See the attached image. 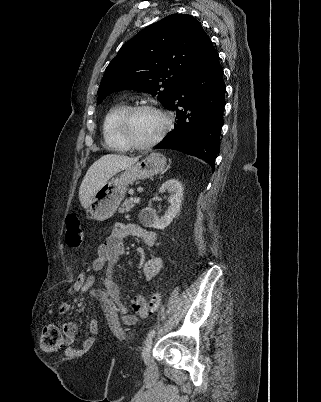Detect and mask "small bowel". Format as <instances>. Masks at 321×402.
<instances>
[{
  "label": "small bowel",
  "mask_w": 321,
  "mask_h": 402,
  "mask_svg": "<svg viewBox=\"0 0 321 402\" xmlns=\"http://www.w3.org/2000/svg\"><path fill=\"white\" fill-rule=\"evenodd\" d=\"M126 237H138L148 246H153L156 243L157 236L152 230L145 229L136 223H118L114 229L104 238L103 242L96 248L95 258L91 262V270L95 273L104 272L101 278V283L110 298L116 305L122 315L123 322L126 325H134L137 322L135 314L131 313L125 306L120 296L119 290L113 279V271L119 258L125 253L124 239ZM163 266V258L160 256H152L143 264V275L147 280L153 279ZM94 282V276L91 274L86 277L85 285H90ZM140 301H145L141 295H136L132 299V307ZM146 302V301H145ZM57 313L66 315L71 310V306L67 303H58L55 305ZM134 309V308H133ZM146 316V314H141ZM62 329L65 335L66 355L71 358H83L88 347L93 346L97 341V336L100 333L99 322L92 321L87 328V333L84 336L85 344L75 346L77 336V325L73 322H65L62 324ZM88 346V347H87Z\"/></svg>",
  "instance_id": "1"
}]
</instances>
